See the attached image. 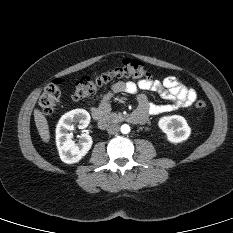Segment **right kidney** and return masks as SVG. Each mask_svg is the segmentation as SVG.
<instances>
[{
  "instance_id": "ca27d5eb",
  "label": "right kidney",
  "mask_w": 233,
  "mask_h": 233,
  "mask_svg": "<svg viewBox=\"0 0 233 233\" xmlns=\"http://www.w3.org/2000/svg\"><path fill=\"white\" fill-rule=\"evenodd\" d=\"M90 115L84 109H74L65 113L56 126V145L61 160L67 164L77 163L90 150L93 141L86 133L81 134L78 143H75L69 131L73 123H78L79 129H85L90 123Z\"/></svg>"
}]
</instances>
